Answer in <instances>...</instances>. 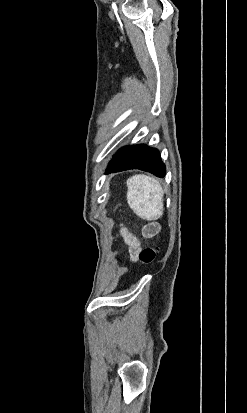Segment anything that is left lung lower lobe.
<instances>
[{
    "label": "left lung lower lobe",
    "mask_w": 247,
    "mask_h": 413,
    "mask_svg": "<svg viewBox=\"0 0 247 413\" xmlns=\"http://www.w3.org/2000/svg\"><path fill=\"white\" fill-rule=\"evenodd\" d=\"M129 169L148 171L158 177L166 174L159 151L142 144L121 148L111 160L106 174Z\"/></svg>",
    "instance_id": "left-lung-lower-lobe-1"
}]
</instances>
